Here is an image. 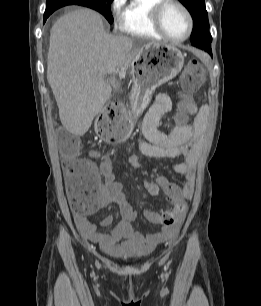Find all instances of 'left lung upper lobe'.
Here are the masks:
<instances>
[{"instance_id":"obj_1","label":"left lung upper lobe","mask_w":261,"mask_h":306,"mask_svg":"<svg viewBox=\"0 0 261 306\" xmlns=\"http://www.w3.org/2000/svg\"><path fill=\"white\" fill-rule=\"evenodd\" d=\"M190 12L194 27L190 36L193 46L211 53L212 37L209 33L208 14L204 0H179Z\"/></svg>"}]
</instances>
